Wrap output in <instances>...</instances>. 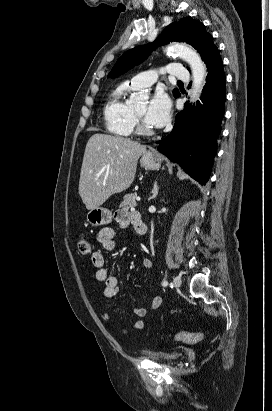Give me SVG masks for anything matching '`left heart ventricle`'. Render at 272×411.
<instances>
[{"label": "left heart ventricle", "instance_id": "1", "mask_svg": "<svg viewBox=\"0 0 272 411\" xmlns=\"http://www.w3.org/2000/svg\"><path fill=\"white\" fill-rule=\"evenodd\" d=\"M147 109V104L142 103L134 107L135 112L141 118L142 122L149 127V125L145 122V112Z\"/></svg>", "mask_w": 272, "mask_h": 411}]
</instances>
